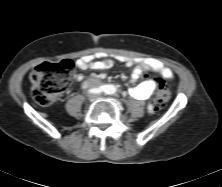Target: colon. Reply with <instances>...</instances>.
I'll use <instances>...</instances> for the list:
<instances>
[{"mask_svg": "<svg viewBox=\"0 0 222 187\" xmlns=\"http://www.w3.org/2000/svg\"><path fill=\"white\" fill-rule=\"evenodd\" d=\"M73 79L74 63L71 60L41 63L30 73L32 96L40 105H51L70 87ZM170 98V90L159 80L153 99L154 109L163 108Z\"/></svg>", "mask_w": 222, "mask_h": 187, "instance_id": "obj_1", "label": "colon"}]
</instances>
